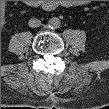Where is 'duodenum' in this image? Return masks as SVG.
Masks as SVG:
<instances>
[{
    "label": "duodenum",
    "instance_id": "obj_1",
    "mask_svg": "<svg viewBox=\"0 0 109 109\" xmlns=\"http://www.w3.org/2000/svg\"><path fill=\"white\" fill-rule=\"evenodd\" d=\"M28 6L48 9L54 7V4L47 1H28Z\"/></svg>",
    "mask_w": 109,
    "mask_h": 109
}]
</instances>
